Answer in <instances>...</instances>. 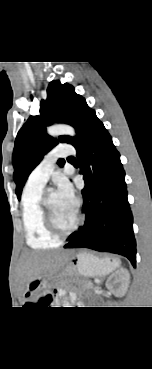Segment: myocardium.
Segmentation results:
<instances>
[{"label":"myocardium","instance_id":"myocardium-1","mask_svg":"<svg viewBox=\"0 0 152 369\" xmlns=\"http://www.w3.org/2000/svg\"><path fill=\"white\" fill-rule=\"evenodd\" d=\"M41 208L43 211V216H44V223L45 226L47 228V230L49 231V233L54 236L55 238H57L58 240L60 239H64L66 237H68L69 235H71L73 232H75L81 221H82V217L80 216L79 212L76 210V218L74 223L72 224V226L66 230H62L56 223L55 218L53 216V213L49 207V203H48V197L44 196L41 200Z\"/></svg>","mask_w":152,"mask_h":369}]
</instances>
